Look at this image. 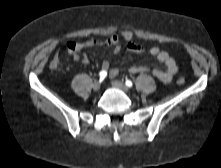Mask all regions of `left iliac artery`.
Returning a JSON list of instances; mask_svg holds the SVG:
<instances>
[{"label":"left iliac artery","instance_id":"44dca946","mask_svg":"<svg viewBox=\"0 0 221 168\" xmlns=\"http://www.w3.org/2000/svg\"><path fill=\"white\" fill-rule=\"evenodd\" d=\"M125 84H126V86H128V87H132V85H133V83H132L131 80H126Z\"/></svg>","mask_w":221,"mask_h":168}]
</instances>
